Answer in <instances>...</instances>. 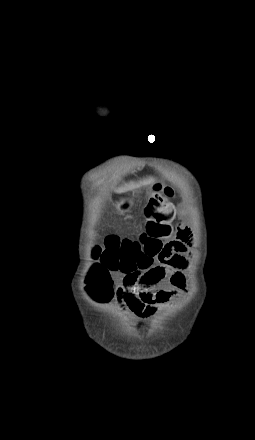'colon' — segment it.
<instances>
[{
  "instance_id": "obj_1",
  "label": "colon",
  "mask_w": 255,
  "mask_h": 440,
  "mask_svg": "<svg viewBox=\"0 0 255 440\" xmlns=\"http://www.w3.org/2000/svg\"><path fill=\"white\" fill-rule=\"evenodd\" d=\"M173 190L165 186H157L149 196L144 208L145 227L135 238L108 236L102 247L93 250V257L100 260V265L87 280V291L98 301H107L110 282L109 271L130 273L145 270L155 260L165 255L167 243L164 238L171 235L175 209L169 198Z\"/></svg>"
}]
</instances>
